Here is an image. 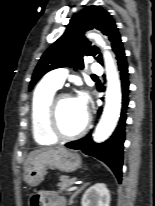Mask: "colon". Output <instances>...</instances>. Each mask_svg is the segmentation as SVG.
I'll list each match as a JSON object with an SVG mask.
<instances>
[{"label": "colon", "instance_id": "5ec220e1", "mask_svg": "<svg viewBox=\"0 0 155 206\" xmlns=\"http://www.w3.org/2000/svg\"><path fill=\"white\" fill-rule=\"evenodd\" d=\"M38 203H39V197L37 195L33 196L30 199L31 206H38Z\"/></svg>", "mask_w": 155, "mask_h": 206}]
</instances>
